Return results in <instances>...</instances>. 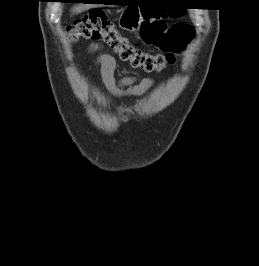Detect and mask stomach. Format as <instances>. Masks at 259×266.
Returning a JSON list of instances; mask_svg holds the SVG:
<instances>
[{
    "mask_svg": "<svg viewBox=\"0 0 259 266\" xmlns=\"http://www.w3.org/2000/svg\"><path fill=\"white\" fill-rule=\"evenodd\" d=\"M119 25L126 30L136 31L137 29H139L140 17L134 14L129 8H127L121 15Z\"/></svg>",
    "mask_w": 259,
    "mask_h": 266,
    "instance_id": "0dacf381",
    "label": "stomach"
}]
</instances>
